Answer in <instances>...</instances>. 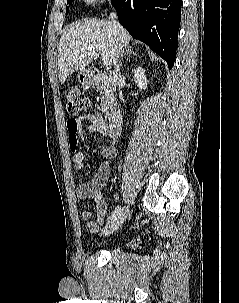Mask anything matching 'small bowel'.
<instances>
[{
	"label": "small bowel",
	"mask_w": 239,
	"mask_h": 303,
	"mask_svg": "<svg viewBox=\"0 0 239 303\" xmlns=\"http://www.w3.org/2000/svg\"><path fill=\"white\" fill-rule=\"evenodd\" d=\"M74 122L76 129L74 132L70 131L69 123ZM88 122V134H101L109 137V144L102 147V154L108 159L116 156V143L117 138L111 136L108 132L103 118L96 112H89L77 118H71L67 122V129L69 132V146L71 148L72 156L71 161L73 167L77 171L84 169V154L79 150H75L79 140L82 137V124ZM110 173V163L106 161L102 163L92 180L89 182L79 183L76 187V194L81 201L93 199L95 201L97 222L92 221V211L85 209L81 212V218L87 223V229L91 233H97L101 226L104 225V219L108 212L107 205L102 198L101 190L105 186Z\"/></svg>",
	"instance_id": "c3829d8e"
}]
</instances>
